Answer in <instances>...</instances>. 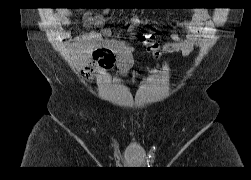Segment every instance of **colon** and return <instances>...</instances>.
<instances>
[{
  "instance_id": "obj_1",
  "label": "colon",
  "mask_w": 251,
  "mask_h": 180,
  "mask_svg": "<svg viewBox=\"0 0 251 180\" xmlns=\"http://www.w3.org/2000/svg\"><path fill=\"white\" fill-rule=\"evenodd\" d=\"M140 38L147 44L148 50L151 51L155 56L160 55V45L154 40L152 35L143 34Z\"/></svg>"
}]
</instances>
